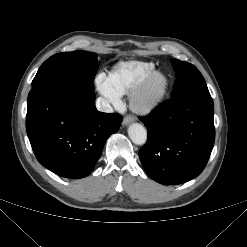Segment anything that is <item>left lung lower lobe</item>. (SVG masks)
<instances>
[{"mask_svg":"<svg viewBox=\"0 0 247 247\" xmlns=\"http://www.w3.org/2000/svg\"><path fill=\"white\" fill-rule=\"evenodd\" d=\"M140 120L148 138L139 157L149 177L160 184L177 185L203 171L215 140L209 92L171 98Z\"/></svg>","mask_w":247,"mask_h":247,"instance_id":"left-lung-lower-lobe-1","label":"left lung lower lobe"}]
</instances>
